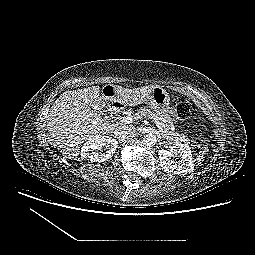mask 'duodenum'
<instances>
[{"label":"duodenum","instance_id":"410a0bca","mask_svg":"<svg viewBox=\"0 0 255 255\" xmlns=\"http://www.w3.org/2000/svg\"><path fill=\"white\" fill-rule=\"evenodd\" d=\"M111 107H112L113 112H117V111H120L121 109H123L124 105L122 104L121 101L114 100L112 102Z\"/></svg>","mask_w":255,"mask_h":255}]
</instances>
